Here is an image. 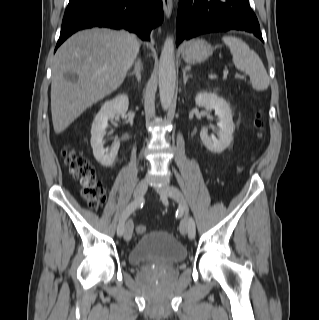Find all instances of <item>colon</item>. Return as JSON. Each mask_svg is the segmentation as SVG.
Returning a JSON list of instances; mask_svg holds the SVG:
<instances>
[{"mask_svg": "<svg viewBox=\"0 0 319 320\" xmlns=\"http://www.w3.org/2000/svg\"><path fill=\"white\" fill-rule=\"evenodd\" d=\"M255 126L262 133L264 122L260 115L255 118ZM65 162L75 180L78 181L83 198L90 206L97 208L105 200V191L101 183L96 179L93 165L79 152L66 148L63 152ZM136 232L140 235L146 232V227L138 225Z\"/></svg>", "mask_w": 319, "mask_h": 320, "instance_id": "5ec220e1", "label": "colon"}]
</instances>
